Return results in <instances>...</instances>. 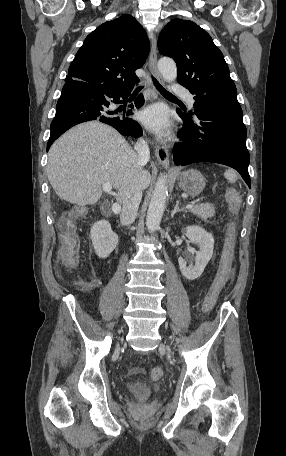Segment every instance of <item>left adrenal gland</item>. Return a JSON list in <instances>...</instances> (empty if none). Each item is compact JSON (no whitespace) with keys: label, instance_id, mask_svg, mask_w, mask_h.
Listing matches in <instances>:
<instances>
[{"label":"left adrenal gland","instance_id":"left-adrenal-gland-1","mask_svg":"<svg viewBox=\"0 0 286 456\" xmlns=\"http://www.w3.org/2000/svg\"><path fill=\"white\" fill-rule=\"evenodd\" d=\"M181 211L184 212L186 210L184 208H179V200H177L176 205H175L173 211L171 212V218H173L177 212H181Z\"/></svg>","mask_w":286,"mask_h":456}]
</instances>
